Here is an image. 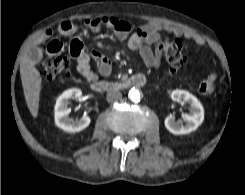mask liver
Returning a JSON list of instances; mask_svg holds the SVG:
<instances>
[{"mask_svg":"<svg viewBox=\"0 0 245 195\" xmlns=\"http://www.w3.org/2000/svg\"><path fill=\"white\" fill-rule=\"evenodd\" d=\"M20 75L26 104L32 116L37 118L42 83L40 73L34 64L25 57L20 64Z\"/></svg>","mask_w":245,"mask_h":195,"instance_id":"obj_1","label":"liver"}]
</instances>
